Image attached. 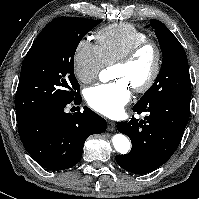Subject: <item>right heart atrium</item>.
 <instances>
[{
    "instance_id": "d8ad5b80",
    "label": "right heart atrium",
    "mask_w": 199,
    "mask_h": 199,
    "mask_svg": "<svg viewBox=\"0 0 199 199\" xmlns=\"http://www.w3.org/2000/svg\"><path fill=\"white\" fill-rule=\"evenodd\" d=\"M104 61L98 45L80 40L73 54V70L82 83L94 80L104 68Z\"/></svg>"
}]
</instances>
